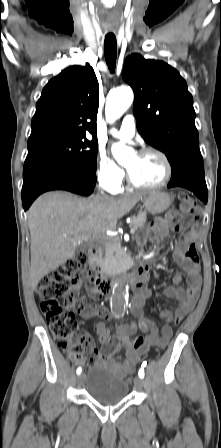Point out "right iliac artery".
<instances>
[{
	"instance_id": "82829eb1",
	"label": "right iliac artery",
	"mask_w": 221,
	"mask_h": 448,
	"mask_svg": "<svg viewBox=\"0 0 221 448\" xmlns=\"http://www.w3.org/2000/svg\"><path fill=\"white\" fill-rule=\"evenodd\" d=\"M82 372V369L79 367L77 370H76V373L77 374H80Z\"/></svg>"
}]
</instances>
